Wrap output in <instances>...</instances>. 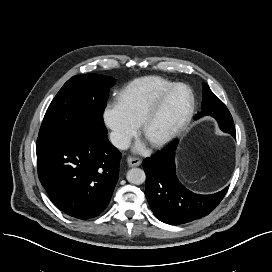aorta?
Listing matches in <instances>:
<instances>
[{"label": "aorta", "instance_id": "1", "mask_svg": "<svg viewBox=\"0 0 272 272\" xmlns=\"http://www.w3.org/2000/svg\"><path fill=\"white\" fill-rule=\"evenodd\" d=\"M126 178L128 182L135 185H140L145 182L146 175L144 170L140 168H132L127 172Z\"/></svg>", "mask_w": 272, "mask_h": 272}]
</instances>
